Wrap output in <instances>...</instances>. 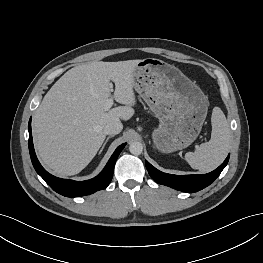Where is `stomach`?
<instances>
[{"instance_id": "obj_1", "label": "stomach", "mask_w": 263, "mask_h": 263, "mask_svg": "<svg viewBox=\"0 0 263 263\" xmlns=\"http://www.w3.org/2000/svg\"><path fill=\"white\" fill-rule=\"evenodd\" d=\"M134 89L159 119L152 139L157 149L171 153L191 145L207 116L202 90L177 67L155 58L139 60Z\"/></svg>"}]
</instances>
